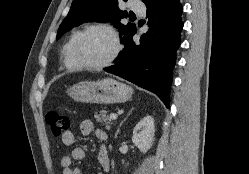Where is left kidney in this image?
Returning a JSON list of instances; mask_svg holds the SVG:
<instances>
[{
	"label": "left kidney",
	"instance_id": "obj_1",
	"mask_svg": "<svg viewBox=\"0 0 249 174\" xmlns=\"http://www.w3.org/2000/svg\"><path fill=\"white\" fill-rule=\"evenodd\" d=\"M155 133L154 119L146 116L135 126L132 141L143 153H146L152 146Z\"/></svg>",
	"mask_w": 249,
	"mask_h": 174
}]
</instances>
